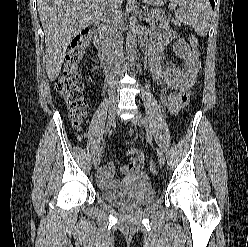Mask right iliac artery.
Here are the masks:
<instances>
[{
  "mask_svg": "<svg viewBox=\"0 0 248 247\" xmlns=\"http://www.w3.org/2000/svg\"><path fill=\"white\" fill-rule=\"evenodd\" d=\"M113 122H114V119H109L108 122H107V126H106V129H105V132H104L103 143L105 141L106 136L111 133V126H112Z\"/></svg>",
  "mask_w": 248,
  "mask_h": 247,
  "instance_id": "1",
  "label": "right iliac artery"
}]
</instances>
